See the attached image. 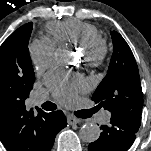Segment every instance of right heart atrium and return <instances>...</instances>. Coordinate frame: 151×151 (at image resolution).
<instances>
[{
    "label": "right heart atrium",
    "instance_id": "d8ad5b80",
    "mask_svg": "<svg viewBox=\"0 0 151 151\" xmlns=\"http://www.w3.org/2000/svg\"><path fill=\"white\" fill-rule=\"evenodd\" d=\"M54 42L37 39L29 46V56L37 70L51 65L54 57Z\"/></svg>",
    "mask_w": 151,
    "mask_h": 151
}]
</instances>
